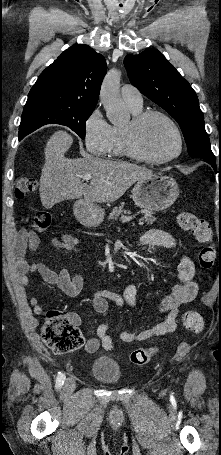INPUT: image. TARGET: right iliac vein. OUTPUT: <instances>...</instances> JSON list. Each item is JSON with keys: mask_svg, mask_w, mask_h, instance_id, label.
I'll use <instances>...</instances> for the list:
<instances>
[{"mask_svg": "<svg viewBox=\"0 0 221 455\" xmlns=\"http://www.w3.org/2000/svg\"><path fill=\"white\" fill-rule=\"evenodd\" d=\"M75 389V380L72 377H69L66 379L64 386H63V392L64 394H69L73 392Z\"/></svg>", "mask_w": 221, "mask_h": 455, "instance_id": "right-iliac-vein-1", "label": "right iliac vein"}]
</instances>
